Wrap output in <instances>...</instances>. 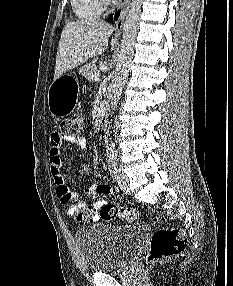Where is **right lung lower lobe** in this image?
<instances>
[{
  "label": "right lung lower lobe",
  "mask_w": 233,
  "mask_h": 286,
  "mask_svg": "<svg viewBox=\"0 0 233 286\" xmlns=\"http://www.w3.org/2000/svg\"><path fill=\"white\" fill-rule=\"evenodd\" d=\"M120 11L116 12L115 14V20H117V18L119 17Z\"/></svg>",
  "instance_id": "obj_1"
}]
</instances>
